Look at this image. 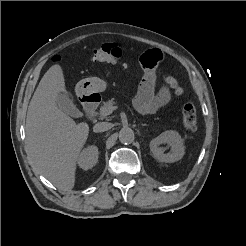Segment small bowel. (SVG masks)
I'll return each instance as SVG.
<instances>
[{"instance_id": "c3829d8e", "label": "small bowel", "mask_w": 246, "mask_h": 246, "mask_svg": "<svg viewBox=\"0 0 246 246\" xmlns=\"http://www.w3.org/2000/svg\"><path fill=\"white\" fill-rule=\"evenodd\" d=\"M163 53L153 49L141 57L144 78L139 86L134 105L141 114H151L168 105L171 101V90L163 85L156 91V66L163 60Z\"/></svg>"}]
</instances>
